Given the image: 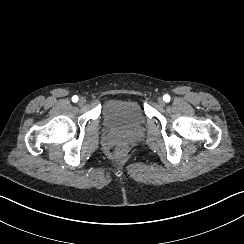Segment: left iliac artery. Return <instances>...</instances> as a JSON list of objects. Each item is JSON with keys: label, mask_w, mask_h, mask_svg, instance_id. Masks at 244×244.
<instances>
[{"label": "left iliac artery", "mask_w": 244, "mask_h": 244, "mask_svg": "<svg viewBox=\"0 0 244 244\" xmlns=\"http://www.w3.org/2000/svg\"><path fill=\"white\" fill-rule=\"evenodd\" d=\"M163 99L165 102H169L170 101V96L168 94L163 96Z\"/></svg>", "instance_id": "1"}]
</instances>
